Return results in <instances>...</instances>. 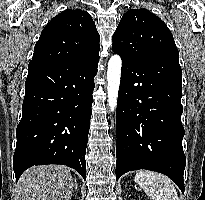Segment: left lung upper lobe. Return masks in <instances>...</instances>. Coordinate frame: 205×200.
Returning a JSON list of instances; mask_svg holds the SVG:
<instances>
[{"instance_id": "5c2ea615", "label": "left lung upper lobe", "mask_w": 205, "mask_h": 200, "mask_svg": "<svg viewBox=\"0 0 205 200\" xmlns=\"http://www.w3.org/2000/svg\"><path fill=\"white\" fill-rule=\"evenodd\" d=\"M112 40L113 51L132 61L179 55L173 35L166 24L146 9L127 11Z\"/></svg>"}]
</instances>
